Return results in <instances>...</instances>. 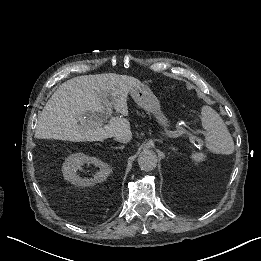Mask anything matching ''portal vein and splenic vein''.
Listing matches in <instances>:
<instances>
[{"instance_id": "portal-vein-and-splenic-vein-1", "label": "portal vein and splenic vein", "mask_w": 261, "mask_h": 261, "mask_svg": "<svg viewBox=\"0 0 261 261\" xmlns=\"http://www.w3.org/2000/svg\"><path fill=\"white\" fill-rule=\"evenodd\" d=\"M104 121H106V120L104 119ZM89 126L96 128V127L101 126V122L92 120V122L89 124ZM179 130L182 131L185 134V136H187L192 142L196 141L200 146H203L205 144V141L200 136H195L192 132L187 131V129L180 128ZM170 137H172V136H170Z\"/></svg>"}]
</instances>
